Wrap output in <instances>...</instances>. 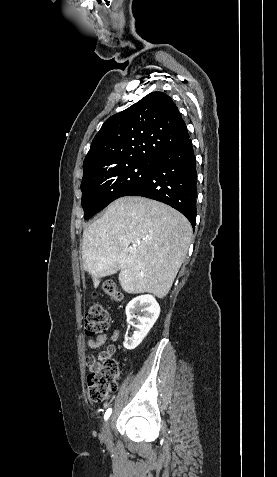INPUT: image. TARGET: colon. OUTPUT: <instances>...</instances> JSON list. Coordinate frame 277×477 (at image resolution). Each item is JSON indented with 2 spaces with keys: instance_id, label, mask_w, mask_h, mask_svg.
Returning a JSON list of instances; mask_svg holds the SVG:
<instances>
[{
  "instance_id": "5ec220e1",
  "label": "colon",
  "mask_w": 277,
  "mask_h": 477,
  "mask_svg": "<svg viewBox=\"0 0 277 477\" xmlns=\"http://www.w3.org/2000/svg\"><path fill=\"white\" fill-rule=\"evenodd\" d=\"M103 292L114 301H120L122 296L113 282H106ZM108 327V313L105 308L91 298L85 312V333L88 337L101 335ZM87 377L88 396L93 403L104 402L109 394L117 389L120 369L118 362L109 356L89 366Z\"/></svg>"
}]
</instances>
